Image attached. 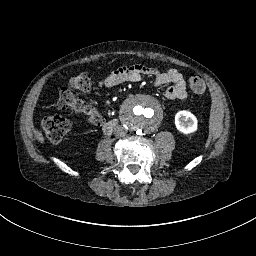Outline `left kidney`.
I'll use <instances>...</instances> for the list:
<instances>
[{
    "label": "left kidney",
    "mask_w": 256,
    "mask_h": 256,
    "mask_svg": "<svg viewBox=\"0 0 256 256\" xmlns=\"http://www.w3.org/2000/svg\"><path fill=\"white\" fill-rule=\"evenodd\" d=\"M175 125L184 134L192 133L197 130V119L189 111H179L175 115Z\"/></svg>",
    "instance_id": "left-kidney-1"
}]
</instances>
